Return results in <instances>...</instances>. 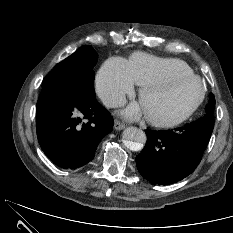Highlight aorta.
Returning a JSON list of instances; mask_svg holds the SVG:
<instances>
[{"label":"aorta","instance_id":"aorta-1","mask_svg":"<svg viewBox=\"0 0 233 233\" xmlns=\"http://www.w3.org/2000/svg\"><path fill=\"white\" fill-rule=\"evenodd\" d=\"M125 146L131 151H140L146 142V134L137 127H128L123 131Z\"/></svg>","mask_w":233,"mask_h":233}]
</instances>
